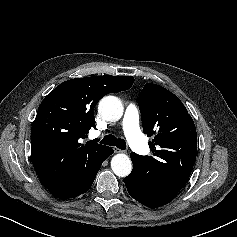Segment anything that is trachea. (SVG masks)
<instances>
[{"instance_id": "3493384b", "label": "trachea", "mask_w": 237, "mask_h": 237, "mask_svg": "<svg viewBox=\"0 0 237 237\" xmlns=\"http://www.w3.org/2000/svg\"><path fill=\"white\" fill-rule=\"evenodd\" d=\"M102 144L109 145V146H116L117 148L121 150L126 149V142L124 139L116 138L113 135H106L102 140Z\"/></svg>"}]
</instances>
